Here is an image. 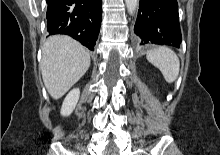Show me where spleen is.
Masks as SVG:
<instances>
[{
    "label": "spleen",
    "instance_id": "3e777b00",
    "mask_svg": "<svg viewBox=\"0 0 220 155\" xmlns=\"http://www.w3.org/2000/svg\"><path fill=\"white\" fill-rule=\"evenodd\" d=\"M147 60L157 67L168 83H173L180 69V61L173 50L166 46H159L147 52Z\"/></svg>",
    "mask_w": 220,
    "mask_h": 155
}]
</instances>
